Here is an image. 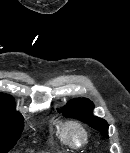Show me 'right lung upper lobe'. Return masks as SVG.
I'll return each instance as SVG.
<instances>
[{"mask_svg": "<svg viewBox=\"0 0 130 153\" xmlns=\"http://www.w3.org/2000/svg\"><path fill=\"white\" fill-rule=\"evenodd\" d=\"M0 113L18 114L14 108V101L11 96L0 93Z\"/></svg>", "mask_w": 130, "mask_h": 153, "instance_id": "obj_1", "label": "right lung upper lobe"}]
</instances>
